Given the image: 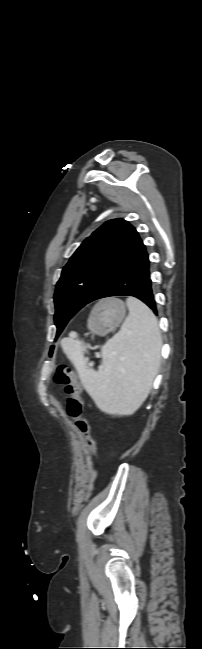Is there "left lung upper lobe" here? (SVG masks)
Returning <instances> with one entry per match:
<instances>
[{
	"label": "left lung upper lobe",
	"mask_w": 202,
	"mask_h": 649,
	"mask_svg": "<svg viewBox=\"0 0 202 649\" xmlns=\"http://www.w3.org/2000/svg\"><path fill=\"white\" fill-rule=\"evenodd\" d=\"M139 237L123 219L105 222L92 233L63 268L54 294L57 336L67 322L93 297L118 265L131 244Z\"/></svg>",
	"instance_id": "left-lung-upper-lobe-1"
}]
</instances>
